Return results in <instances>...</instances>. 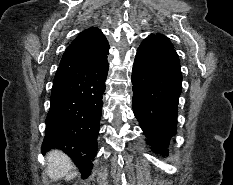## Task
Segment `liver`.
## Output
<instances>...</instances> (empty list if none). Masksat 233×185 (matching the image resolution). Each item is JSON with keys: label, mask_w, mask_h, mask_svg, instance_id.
<instances>
[{"label": "liver", "mask_w": 233, "mask_h": 185, "mask_svg": "<svg viewBox=\"0 0 233 185\" xmlns=\"http://www.w3.org/2000/svg\"><path fill=\"white\" fill-rule=\"evenodd\" d=\"M72 170L73 163L63 152L53 150L47 154V173L50 178L71 180L78 174V172Z\"/></svg>", "instance_id": "1"}]
</instances>
